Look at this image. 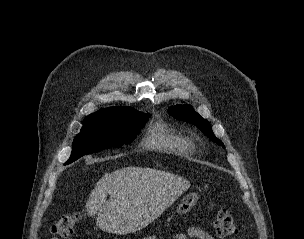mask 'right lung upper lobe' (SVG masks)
I'll return each instance as SVG.
<instances>
[{"label":"right lung upper lobe","mask_w":304,"mask_h":239,"mask_svg":"<svg viewBox=\"0 0 304 239\" xmlns=\"http://www.w3.org/2000/svg\"><path fill=\"white\" fill-rule=\"evenodd\" d=\"M133 108L131 107H110V108H105L101 109L96 113L90 114L87 117H111V116H119L127 111L131 110Z\"/></svg>","instance_id":"obj_1"}]
</instances>
